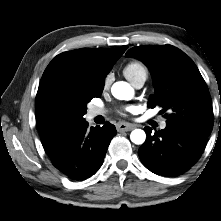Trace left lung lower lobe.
I'll list each match as a JSON object with an SVG mask.
<instances>
[{"label": "left lung lower lobe", "instance_id": "0a47b994", "mask_svg": "<svg viewBox=\"0 0 221 221\" xmlns=\"http://www.w3.org/2000/svg\"><path fill=\"white\" fill-rule=\"evenodd\" d=\"M146 141L139 148L143 165L151 172L162 176H177L187 171L200 158L207 138L195 131L177 125H166L155 131L145 127Z\"/></svg>", "mask_w": 221, "mask_h": 221}]
</instances>
